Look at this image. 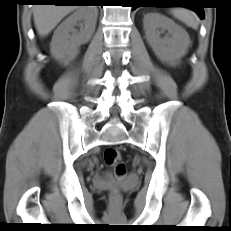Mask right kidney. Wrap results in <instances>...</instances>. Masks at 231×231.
I'll return each instance as SVG.
<instances>
[{
	"label": "right kidney",
	"mask_w": 231,
	"mask_h": 231,
	"mask_svg": "<svg viewBox=\"0 0 231 231\" xmlns=\"http://www.w3.org/2000/svg\"><path fill=\"white\" fill-rule=\"evenodd\" d=\"M98 11L94 7H79L54 31L50 44L52 56L61 63H70L82 44L90 41L96 27ZM79 24L80 31L75 30Z\"/></svg>",
	"instance_id": "right-kidney-1"
}]
</instances>
